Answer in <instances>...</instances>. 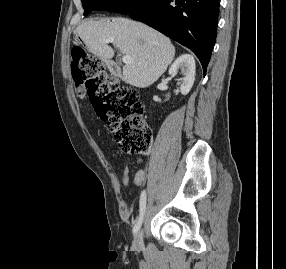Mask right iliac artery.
Segmentation results:
<instances>
[{
  "label": "right iliac artery",
  "instance_id": "right-iliac-artery-1",
  "mask_svg": "<svg viewBox=\"0 0 286 269\" xmlns=\"http://www.w3.org/2000/svg\"><path fill=\"white\" fill-rule=\"evenodd\" d=\"M145 210H146V191L143 190L141 192V195H140V213H139V217H138V220L133 228V233L136 234L141 225H142V222H143V218H144V214H145Z\"/></svg>",
  "mask_w": 286,
  "mask_h": 269
}]
</instances>
